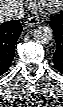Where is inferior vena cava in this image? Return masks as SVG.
<instances>
[{
  "label": "inferior vena cava",
  "mask_w": 63,
  "mask_h": 107,
  "mask_svg": "<svg viewBox=\"0 0 63 107\" xmlns=\"http://www.w3.org/2000/svg\"><path fill=\"white\" fill-rule=\"evenodd\" d=\"M0 6V18L3 20L21 19L24 16L21 0H1Z\"/></svg>",
  "instance_id": "602c4592"
}]
</instances>
